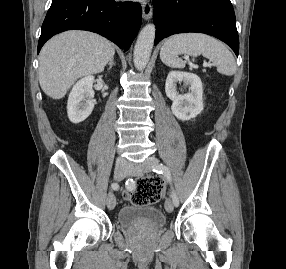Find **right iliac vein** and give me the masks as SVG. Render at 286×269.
I'll return each mask as SVG.
<instances>
[{
  "mask_svg": "<svg viewBox=\"0 0 286 269\" xmlns=\"http://www.w3.org/2000/svg\"><path fill=\"white\" fill-rule=\"evenodd\" d=\"M128 170L129 167L127 166V164L123 162L117 163L114 170V179L117 181L122 180L126 176ZM115 206H116V199L113 193L110 192L107 196V207L108 209L112 210L115 208Z\"/></svg>",
  "mask_w": 286,
  "mask_h": 269,
  "instance_id": "right-iliac-vein-1",
  "label": "right iliac vein"
}]
</instances>
